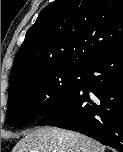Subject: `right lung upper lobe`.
I'll return each mask as SVG.
<instances>
[{"label": "right lung upper lobe", "mask_w": 123, "mask_h": 152, "mask_svg": "<svg viewBox=\"0 0 123 152\" xmlns=\"http://www.w3.org/2000/svg\"><path fill=\"white\" fill-rule=\"evenodd\" d=\"M123 42V0H55L39 14L17 52L9 89L23 77L84 69Z\"/></svg>", "instance_id": "1"}]
</instances>
